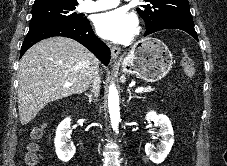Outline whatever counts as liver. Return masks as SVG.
<instances>
[{"instance_id": "liver-1", "label": "liver", "mask_w": 227, "mask_h": 166, "mask_svg": "<svg viewBox=\"0 0 227 166\" xmlns=\"http://www.w3.org/2000/svg\"><path fill=\"white\" fill-rule=\"evenodd\" d=\"M98 69V59L70 38L52 37L32 46L19 66L21 124L33 120L48 103L86 91ZM67 82L72 85L65 86Z\"/></svg>"}]
</instances>
